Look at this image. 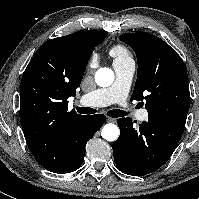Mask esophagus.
I'll return each instance as SVG.
<instances>
[{"mask_svg": "<svg viewBox=\"0 0 199 199\" xmlns=\"http://www.w3.org/2000/svg\"><path fill=\"white\" fill-rule=\"evenodd\" d=\"M107 122H112V123H114V122H116V119L111 118V117H107Z\"/></svg>", "mask_w": 199, "mask_h": 199, "instance_id": "obj_1", "label": "esophagus"}]
</instances>
